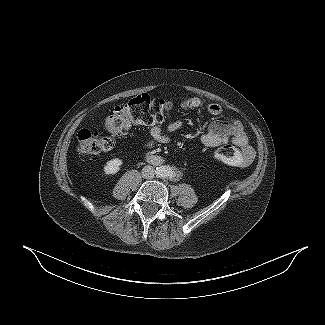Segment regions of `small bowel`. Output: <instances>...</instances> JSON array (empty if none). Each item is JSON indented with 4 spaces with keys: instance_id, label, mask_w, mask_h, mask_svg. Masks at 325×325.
I'll use <instances>...</instances> for the list:
<instances>
[{
    "instance_id": "small-bowel-1",
    "label": "small bowel",
    "mask_w": 325,
    "mask_h": 325,
    "mask_svg": "<svg viewBox=\"0 0 325 325\" xmlns=\"http://www.w3.org/2000/svg\"><path fill=\"white\" fill-rule=\"evenodd\" d=\"M184 109L204 108L209 114L218 116L222 113V106L218 103L205 104L200 98L193 97L183 102ZM183 120L178 119L170 122L165 129L153 126L150 129L151 139L145 143L149 148L155 144H168L171 142V134L184 127ZM200 141L207 147H218L226 143H232L243 150L245 165L249 164L255 156L253 148L249 144V138L245 133L241 122L235 118L212 121L207 131L200 136Z\"/></svg>"
}]
</instances>
